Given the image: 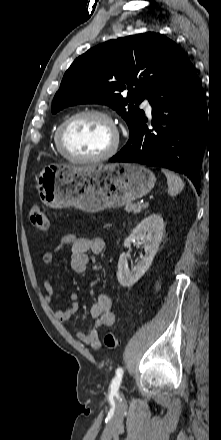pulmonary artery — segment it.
Returning <instances> with one entry per match:
<instances>
[{
	"mask_svg": "<svg viewBox=\"0 0 221 440\" xmlns=\"http://www.w3.org/2000/svg\"><path fill=\"white\" fill-rule=\"evenodd\" d=\"M142 104L148 112L152 111V106H151V103L148 99H144Z\"/></svg>",
	"mask_w": 221,
	"mask_h": 440,
	"instance_id": "e3ab8cb5",
	"label": "pulmonary artery"
}]
</instances>
